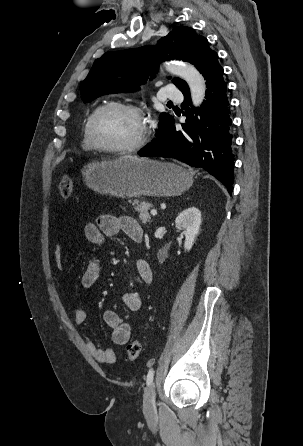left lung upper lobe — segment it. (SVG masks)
Returning a JSON list of instances; mask_svg holds the SVG:
<instances>
[{"mask_svg":"<svg viewBox=\"0 0 303 446\" xmlns=\"http://www.w3.org/2000/svg\"><path fill=\"white\" fill-rule=\"evenodd\" d=\"M215 54L206 38L198 36L190 27L178 26L162 38L157 47L110 51L96 59L80 86L82 100L89 102L104 94L136 91L150 74L151 78L154 77L161 61H187L202 73ZM172 82L180 91L188 87L179 78H174ZM171 119L173 116L170 114L161 113L159 130Z\"/></svg>","mask_w":303,"mask_h":446,"instance_id":"1","label":"left lung upper lobe"}]
</instances>
